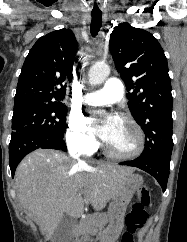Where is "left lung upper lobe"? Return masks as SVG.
Returning <instances> with one entry per match:
<instances>
[{
	"instance_id": "5c2ea615",
	"label": "left lung upper lobe",
	"mask_w": 187,
	"mask_h": 242,
	"mask_svg": "<svg viewBox=\"0 0 187 242\" xmlns=\"http://www.w3.org/2000/svg\"><path fill=\"white\" fill-rule=\"evenodd\" d=\"M109 49L126 84L128 107L146 135L141 156L171 153L172 89L167 59L158 40L124 22L111 33Z\"/></svg>"
}]
</instances>
